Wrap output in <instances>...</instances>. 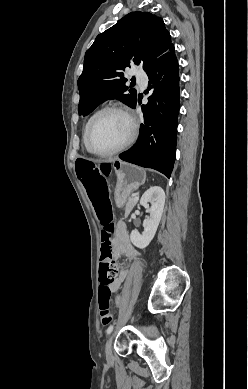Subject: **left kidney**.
I'll return each instance as SVG.
<instances>
[{"mask_svg": "<svg viewBox=\"0 0 248 389\" xmlns=\"http://www.w3.org/2000/svg\"><path fill=\"white\" fill-rule=\"evenodd\" d=\"M150 203V205H149ZM165 203V192L159 186L150 187L141 197L140 205L146 208L149 212L143 222L144 232L132 230L130 240L132 244L140 249L147 247L155 236L159 222L161 220Z\"/></svg>", "mask_w": 248, "mask_h": 389, "instance_id": "5707ae66", "label": "left kidney"}]
</instances>
